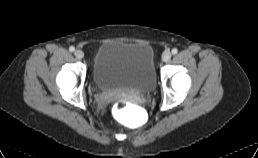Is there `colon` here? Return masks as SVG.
<instances>
[{"label":"colon","mask_w":258,"mask_h":158,"mask_svg":"<svg viewBox=\"0 0 258 158\" xmlns=\"http://www.w3.org/2000/svg\"><path fill=\"white\" fill-rule=\"evenodd\" d=\"M126 107V104L122 101H118L116 102L113 107H112V111L115 115H120L122 114L124 108Z\"/></svg>","instance_id":"1"}]
</instances>
